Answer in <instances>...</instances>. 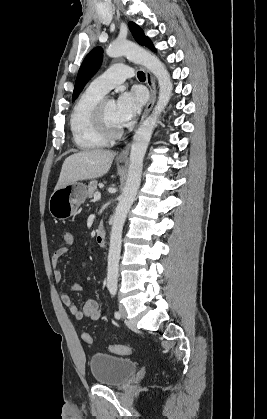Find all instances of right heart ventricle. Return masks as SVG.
Listing matches in <instances>:
<instances>
[{
    "instance_id": "e07e8e85",
    "label": "right heart ventricle",
    "mask_w": 267,
    "mask_h": 419,
    "mask_svg": "<svg viewBox=\"0 0 267 419\" xmlns=\"http://www.w3.org/2000/svg\"><path fill=\"white\" fill-rule=\"evenodd\" d=\"M105 94L88 87L77 99L70 114V129L73 141L81 150H94L107 144L98 133L94 112Z\"/></svg>"
}]
</instances>
